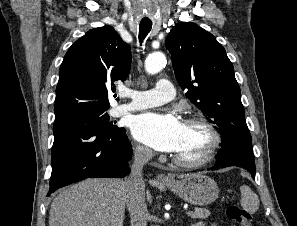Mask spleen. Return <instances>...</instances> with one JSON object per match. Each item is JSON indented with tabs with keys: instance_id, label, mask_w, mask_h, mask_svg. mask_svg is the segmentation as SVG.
Returning <instances> with one entry per match:
<instances>
[{
	"instance_id": "spleen-1",
	"label": "spleen",
	"mask_w": 297,
	"mask_h": 226,
	"mask_svg": "<svg viewBox=\"0 0 297 226\" xmlns=\"http://www.w3.org/2000/svg\"><path fill=\"white\" fill-rule=\"evenodd\" d=\"M241 199L240 204L246 212L253 214L259 209V198L247 185L240 187Z\"/></svg>"
}]
</instances>
